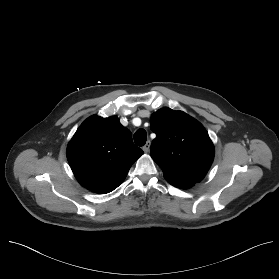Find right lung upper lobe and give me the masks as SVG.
<instances>
[{
	"label": "right lung upper lobe",
	"instance_id": "cb5924a9",
	"mask_svg": "<svg viewBox=\"0 0 279 279\" xmlns=\"http://www.w3.org/2000/svg\"><path fill=\"white\" fill-rule=\"evenodd\" d=\"M142 154L116 116L88 118L67 147L68 162L78 182L99 194L116 189Z\"/></svg>",
	"mask_w": 279,
	"mask_h": 279
}]
</instances>
